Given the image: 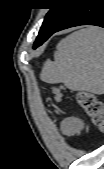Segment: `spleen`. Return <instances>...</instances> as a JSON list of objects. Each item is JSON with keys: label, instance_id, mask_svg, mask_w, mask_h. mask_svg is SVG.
Masks as SVG:
<instances>
[{"label": "spleen", "instance_id": "obj_1", "mask_svg": "<svg viewBox=\"0 0 104 169\" xmlns=\"http://www.w3.org/2000/svg\"><path fill=\"white\" fill-rule=\"evenodd\" d=\"M47 83H64L73 91L104 93V31L87 27L61 40L54 61L44 63L40 75Z\"/></svg>", "mask_w": 104, "mask_h": 169}]
</instances>
